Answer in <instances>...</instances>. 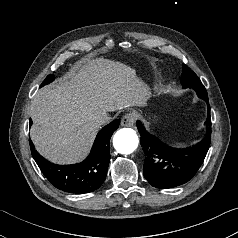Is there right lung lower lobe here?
<instances>
[{"label":"right lung lower lobe","instance_id":"obj_1","mask_svg":"<svg viewBox=\"0 0 238 238\" xmlns=\"http://www.w3.org/2000/svg\"><path fill=\"white\" fill-rule=\"evenodd\" d=\"M118 127L119 120L116 119L101 129L90 154L81 163L63 166L53 164L43 158L30 141L31 153L40 170L53 186L70 193H89L98 189L106 178L110 160L109 141Z\"/></svg>","mask_w":238,"mask_h":238}]
</instances>
